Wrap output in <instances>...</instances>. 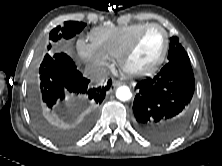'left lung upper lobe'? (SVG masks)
<instances>
[{
    "instance_id": "1",
    "label": "left lung upper lobe",
    "mask_w": 222,
    "mask_h": 166,
    "mask_svg": "<svg viewBox=\"0 0 222 166\" xmlns=\"http://www.w3.org/2000/svg\"><path fill=\"white\" fill-rule=\"evenodd\" d=\"M168 60H169V62H175V61L190 62V59H189L186 51L179 43V40L177 37L170 38Z\"/></svg>"
}]
</instances>
